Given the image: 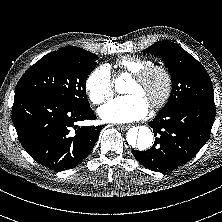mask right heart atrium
<instances>
[{
    "label": "right heart atrium",
    "mask_w": 222,
    "mask_h": 222,
    "mask_svg": "<svg viewBox=\"0 0 222 222\" xmlns=\"http://www.w3.org/2000/svg\"><path fill=\"white\" fill-rule=\"evenodd\" d=\"M88 98L94 105H100L113 96L112 74L108 66L96 67L85 81Z\"/></svg>",
    "instance_id": "obj_1"
}]
</instances>
